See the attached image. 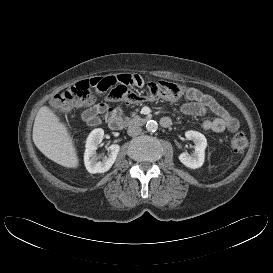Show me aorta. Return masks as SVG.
Instances as JSON below:
<instances>
[{
  "label": "aorta",
  "instance_id": "obj_1",
  "mask_svg": "<svg viewBox=\"0 0 273 273\" xmlns=\"http://www.w3.org/2000/svg\"><path fill=\"white\" fill-rule=\"evenodd\" d=\"M158 129V124L156 121L154 120H149L147 123H146V130L148 132H155L156 130Z\"/></svg>",
  "mask_w": 273,
  "mask_h": 273
}]
</instances>
